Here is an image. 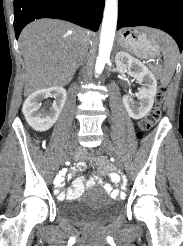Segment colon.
I'll return each instance as SVG.
<instances>
[{"instance_id": "5ec220e1", "label": "colon", "mask_w": 183, "mask_h": 246, "mask_svg": "<svg viewBox=\"0 0 183 246\" xmlns=\"http://www.w3.org/2000/svg\"><path fill=\"white\" fill-rule=\"evenodd\" d=\"M165 96V88L161 86L157 91L156 103L149 112V114L141 121L140 123V133L138 134L141 137L142 131L149 130L153 125H155L161 117V103ZM89 154H93L94 157H99V152L96 149H89Z\"/></svg>"}]
</instances>
